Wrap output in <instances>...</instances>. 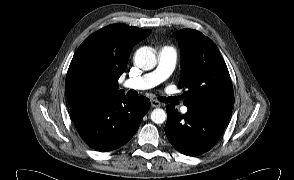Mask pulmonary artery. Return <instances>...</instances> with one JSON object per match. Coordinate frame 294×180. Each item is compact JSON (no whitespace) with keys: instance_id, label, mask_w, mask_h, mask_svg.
I'll return each instance as SVG.
<instances>
[{"instance_id":"obj_1","label":"pulmonary artery","mask_w":294,"mask_h":180,"mask_svg":"<svg viewBox=\"0 0 294 180\" xmlns=\"http://www.w3.org/2000/svg\"><path fill=\"white\" fill-rule=\"evenodd\" d=\"M176 62V50L173 47H164L159 51L158 64L154 71L137 78H132L123 83V87L134 90H145L152 88L172 74ZM188 108L183 106L182 113H186Z\"/></svg>"}]
</instances>
